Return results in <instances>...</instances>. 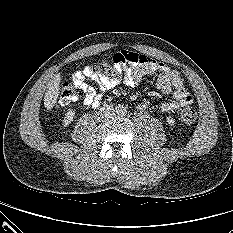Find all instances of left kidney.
Returning <instances> with one entry per match:
<instances>
[{
  "mask_svg": "<svg viewBox=\"0 0 233 233\" xmlns=\"http://www.w3.org/2000/svg\"><path fill=\"white\" fill-rule=\"evenodd\" d=\"M167 122L170 126H174L175 124V120L171 116L167 117Z\"/></svg>",
  "mask_w": 233,
  "mask_h": 233,
  "instance_id": "5707ae66",
  "label": "left kidney"
}]
</instances>
